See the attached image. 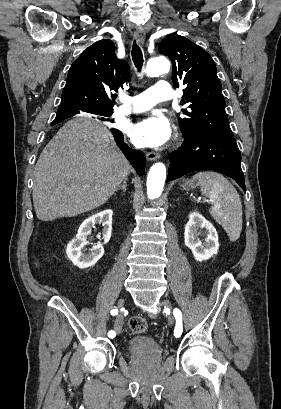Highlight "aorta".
<instances>
[{
	"label": "aorta",
	"instance_id": "aorta-1",
	"mask_svg": "<svg viewBox=\"0 0 281 409\" xmlns=\"http://www.w3.org/2000/svg\"><path fill=\"white\" fill-rule=\"evenodd\" d=\"M170 69V62L165 57L150 59L146 65V74L150 77H158ZM166 179V167L163 163H155L147 176V195L153 200L161 196Z\"/></svg>",
	"mask_w": 281,
	"mask_h": 409
}]
</instances>
